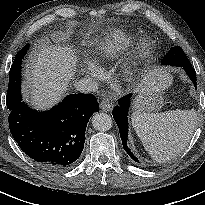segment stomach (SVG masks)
<instances>
[{
  "label": "stomach",
  "mask_w": 205,
  "mask_h": 205,
  "mask_svg": "<svg viewBox=\"0 0 205 205\" xmlns=\"http://www.w3.org/2000/svg\"><path fill=\"white\" fill-rule=\"evenodd\" d=\"M168 86L169 82L166 80L157 83L151 90L139 91L132 104L134 112L149 113L159 109Z\"/></svg>",
  "instance_id": "0dacf381"
}]
</instances>
